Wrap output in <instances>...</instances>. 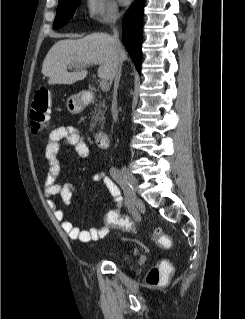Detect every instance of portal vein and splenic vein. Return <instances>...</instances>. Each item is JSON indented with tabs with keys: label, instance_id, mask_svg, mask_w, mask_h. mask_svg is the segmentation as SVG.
I'll use <instances>...</instances> for the list:
<instances>
[{
	"label": "portal vein and splenic vein",
	"instance_id": "portal-vein-and-splenic-vein-1",
	"mask_svg": "<svg viewBox=\"0 0 245 319\" xmlns=\"http://www.w3.org/2000/svg\"><path fill=\"white\" fill-rule=\"evenodd\" d=\"M74 67L83 69V68L86 67V65L79 64V65H74ZM100 87H101L102 91H108L109 90V84H108V82L105 79H102L100 81Z\"/></svg>",
	"mask_w": 245,
	"mask_h": 319
}]
</instances>
